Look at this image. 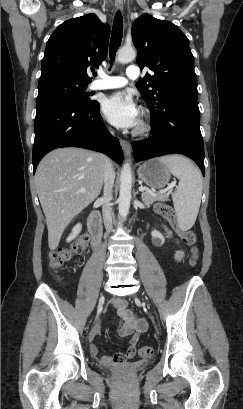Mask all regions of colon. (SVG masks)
Returning a JSON list of instances; mask_svg holds the SVG:
<instances>
[{"mask_svg": "<svg viewBox=\"0 0 243 409\" xmlns=\"http://www.w3.org/2000/svg\"><path fill=\"white\" fill-rule=\"evenodd\" d=\"M155 212L161 215L164 219L176 229L184 244L191 248L194 263L198 257V249L195 245L196 235L192 230H181L178 226L176 213L172 206L158 203L154 206ZM87 236H81L71 247L60 248L52 252L49 258V267L53 271H57L69 262L73 256L81 254L87 246ZM139 355L143 359H149L153 355L151 347L143 346L139 349Z\"/></svg>", "mask_w": 243, "mask_h": 409, "instance_id": "1", "label": "colon"}]
</instances>
